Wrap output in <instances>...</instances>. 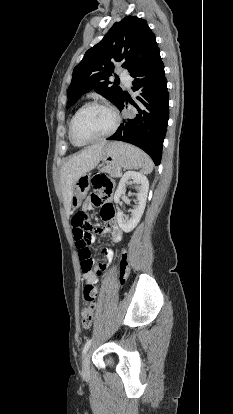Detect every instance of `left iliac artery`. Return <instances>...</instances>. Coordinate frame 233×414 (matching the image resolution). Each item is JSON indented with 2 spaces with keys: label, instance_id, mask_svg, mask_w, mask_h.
I'll return each mask as SVG.
<instances>
[{
  "label": "left iliac artery",
  "instance_id": "left-iliac-artery-1",
  "mask_svg": "<svg viewBox=\"0 0 233 414\" xmlns=\"http://www.w3.org/2000/svg\"><path fill=\"white\" fill-rule=\"evenodd\" d=\"M91 344H92V339L87 340L86 344L84 345L83 351H82L83 355L87 352Z\"/></svg>",
  "mask_w": 233,
  "mask_h": 414
}]
</instances>
